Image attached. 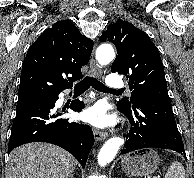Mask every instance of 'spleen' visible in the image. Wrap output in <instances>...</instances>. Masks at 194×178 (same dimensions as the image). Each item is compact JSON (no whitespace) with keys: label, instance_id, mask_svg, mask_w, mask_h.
Masks as SVG:
<instances>
[{"label":"spleen","instance_id":"3e777b00","mask_svg":"<svg viewBox=\"0 0 194 178\" xmlns=\"http://www.w3.org/2000/svg\"><path fill=\"white\" fill-rule=\"evenodd\" d=\"M165 178H185L184 166L177 161H174L167 169Z\"/></svg>","mask_w":194,"mask_h":178}]
</instances>
